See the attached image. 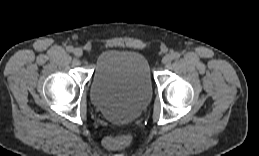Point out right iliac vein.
<instances>
[{"label": "right iliac vein", "instance_id": "right-iliac-vein-1", "mask_svg": "<svg viewBox=\"0 0 259 156\" xmlns=\"http://www.w3.org/2000/svg\"><path fill=\"white\" fill-rule=\"evenodd\" d=\"M73 53L76 57H81L83 55V51L80 48H75Z\"/></svg>", "mask_w": 259, "mask_h": 156}]
</instances>
